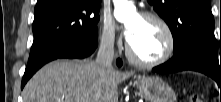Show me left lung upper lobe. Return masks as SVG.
<instances>
[{"label": "left lung upper lobe", "instance_id": "5c2ea615", "mask_svg": "<svg viewBox=\"0 0 221 102\" xmlns=\"http://www.w3.org/2000/svg\"><path fill=\"white\" fill-rule=\"evenodd\" d=\"M168 24L174 40V53L185 48H201L221 60L214 36L210 0H148Z\"/></svg>", "mask_w": 221, "mask_h": 102}]
</instances>
